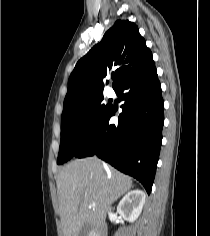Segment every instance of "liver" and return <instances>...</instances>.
<instances>
[{
	"label": "liver",
	"mask_w": 210,
	"mask_h": 236,
	"mask_svg": "<svg viewBox=\"0 0 210 236\" xmlns=\"http://www.w3.org/2000/svg\"><path fill=\"white\" fill-rule=\"evenodd\" d=\"M132 188V179L97 157L67 164L57 177L59 213L64 236H78L86 224L99 229L111 203ZM96 206L91 208L90 205Z\"/></svg>",
	"instance_id": "liver-1"
}]
</instances>
